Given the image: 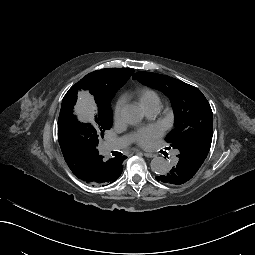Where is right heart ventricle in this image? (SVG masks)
Here are the masks:
<instances>
[{
	"label": "right heart ventricle",
	"instance_id": "1",
	"mask_svg": "<svg viewBox=\"0 0 255 255\" xmlns=\"http://www.w3.org/2000/svg\"><path fill=\"white\" fill-rule=\"evenodd\" d=\"M138 102L144 110L155 106L159 108L160 97L156 90L146 87L139 92Z\"/></svg>",
	"mask_w": 255,
	"mask_h": 255
}]
</instances>
